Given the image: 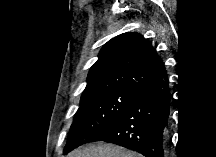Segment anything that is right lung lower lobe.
<instances>
[{
  "mask_svg": "<svg viewBox=\"0 0 216 157\" xmlns=\"http://www.w3.org/2000/svg\"><path fill=\"white\" fill-rule=\"evenodd\" d=\"M170 92L167 72L133 89L121 116L94 141L135 150L144 157H165Z\"/></svg>",
  "mask_w": 216,
  "mask_h": 157,
  "instance_id": "right-lung-lower-lobe-1",
  "label": "right lung lower lobe"
}]
</instances>
